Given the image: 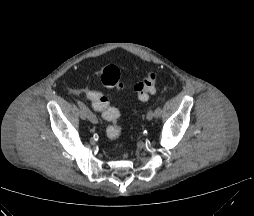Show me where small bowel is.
I'll return each instance as SVG.
<instances>
[{
	"mask_svg": "<svg viewBox=\"0 0 254 216\" xmlns=\"http://www.w3.org/2000/svg\"><path fill=\"white\" fill-rule=\"evenodd\" d=\"M75 92H76V91H75ZM87 97H88V96H87ZM91 102H92V101H91ZM92 105H93V102H92ZM93 107H94V105H93ZM94 109L97 110V111H100L99 109H97V108H95V107H94Z\"/></svg>",
	"mask_w": 254,
	"mask_h": 216,
	"instance_id": "small-bowel-1",
	"label": "small bowel"
}]
</instances>
